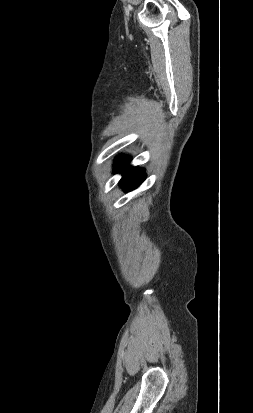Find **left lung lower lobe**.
Instances as JSON below:
<instances>
[{
	"label": "left lung lower lobe",
	"mask_w": 253,
	"mask_h": 413,
	"mask_svg": "<svg viewBox=\"0 0 253 413\" xmlns=\"http://www.w3.org/2000/svg\"><path fill=\"white\" fill-rule=\"evenodd\" d=\"M129 162L130 157H122L114 165V171L123 174V177L120 180V186L126 191H131L137 188L146 177L145 172L142 169L128 166Z\"/></svg>",
	"instance_id": "left-lung-lower-lobe-1"
}]
</instances>
